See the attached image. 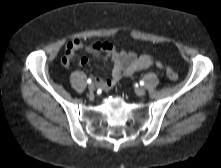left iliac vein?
I'll list each match as a JSON object with an SVG mask.
<instances>
[{
  "mask_svg": "<svg viewBox=\"0 0 221 168\" xmlns=\"http://www.w3.org/2000/svg\"><path fill=\"white\" fill-rule=\"evenodd\" d=\"M135 93H136L138 96H144L145 93H146V90H145L144 88L140 87V88H137V89L135 90Z\"/></svg>",
  "mask_w": 221,
  "mask_h": 168,
  "instance_id": "obj_1",
  "label": "left iliac vein"
}]
</instances>
